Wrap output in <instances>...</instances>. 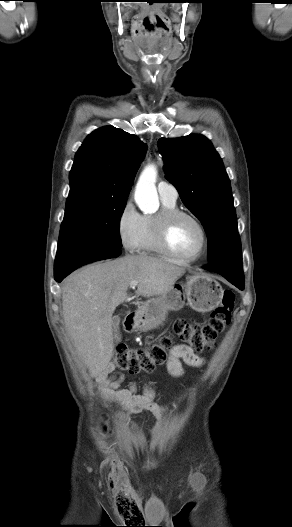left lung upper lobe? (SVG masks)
I'll list each match as a JSON object with an SVG mask.
<instances>
[{"label": "left lung upper lobe", "mask_w": 292, "mask_h": 527, "mask_svg": "<svg viewBox=\"0 0 292 527\" xmlns=\"http://www.w3.org/2000/svg\"><path fill=\"white\" fill-rule=\"evenodd\" d=\"M165 177L208 236V260H242L236 212L228 175L211 142L192 134L158 141Z\"/></svg>", "instance_id": "1"}]
</instances>
